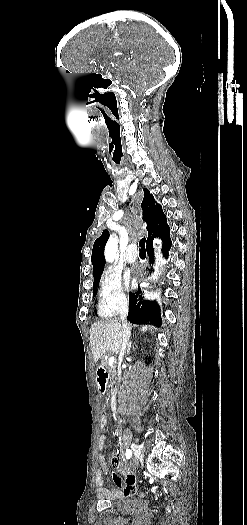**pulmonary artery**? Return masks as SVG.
Returning a JSON list of instances; mask_svg holds the SVG:
<instances>
[{
  "mask_svg": "<svg viewBox=\"0 0 247 525\" xmlns=\"http://www.w3.org/2000/svg\"><path fill=\"white\" fill-rule=\"evenodd\" d=\"M124 254H125L124 260H125L126 263L131 264V263L134 262V260H135V257H134L135 251H134L133 245H130L128 248H126L125 251H124Z\"/></svg>",
  "mask_w": 247,
  "mask_h": 525,
  "instance_id": "e3ab8cb5",
  "label": "pulmonary artery"
}]
</instances>
